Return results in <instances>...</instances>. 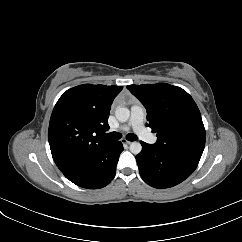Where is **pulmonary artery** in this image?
Returning a JSON list of instances; mask_svg holds the SVG:
<instances>
[{
  "label": "pulmonary artery",
  "mask_w": 242,
  "mask_h": 242,
  "mask_svg": "<svg viewBox=\"0 0 242 242\" xmlns=\"http://www.w3.org/2000/svg\"><path fill=\"white\" fill-rule=\"evenodd\" d=\"M145 109L141 104H134L131 107V116L127 126H124L122 130H128L132 128L134 132L145 142L149 144H155L156 138L151 135L144 125Z\"/></svg>",
  "instance_id": "obj_1"
}]
</instances>
